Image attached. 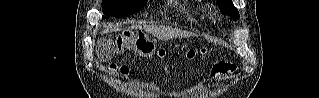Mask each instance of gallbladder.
I'll return each instance as SVG.
<instances>
[{
	"label": "gallbladder",
	"instance_id": "bac80fb5",
	"mask_svg": "<svg viewBox=\"0 0 319 98\" xmlns=\"http://www.w3.org/2000/svg\"><path fill=\"white\" fill-rule=\"evenodd\" d=\"M97 53L105 61L111 59L112 56H113V50L112 49L109 50V51H104L103 48H99Z\"/></svg>",
	"mask_w": 319,
	"mask_h": 98
}]
</instances>
